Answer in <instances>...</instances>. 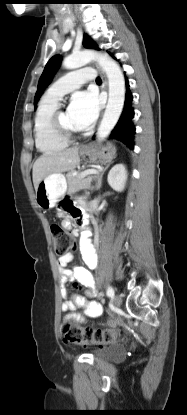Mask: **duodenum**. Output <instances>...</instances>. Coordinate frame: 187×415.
I'll list each match as a JSON object with an SVG mask.
<instances>
[{
    "mask_svg": "<svg viewBox=\"0 0 187 415\" xmlns=\"http://www.w3.org/2000/svg\"><path fill=\"white\" fill-rule=\"evenodd\" d=\"M76 222H77L78 228H82L86 223V218L85 217L79 218Z\"/></svg>",
    "mask_w": 187,
    "mask_h": 415,
    "instance_id": "410a0bca",
    "label": "duodenum"
}]
</instances>
